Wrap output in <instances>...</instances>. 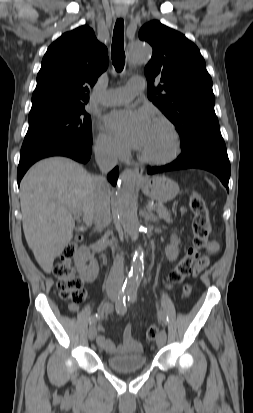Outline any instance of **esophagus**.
<instances>
[{
    "instance_id": "obj_1",
    "label": "esophagus",
    "mask_w": 253,
    "mask_h": 413,
    "mask_svg": "<svg viewBox=\"0 0 253 413\" xmlns=\"http://www.w3.org/2000/svg\"><path fill=\"white\" fill-rule=\"evenodd\" d=\"M118 17L123 18L126 16V14L124 12H119ZM143 167L142 166H135L134 168V174L137 178L142 179L143 178Z\"/></svg>"
}]
</instances>
